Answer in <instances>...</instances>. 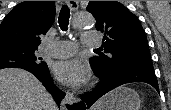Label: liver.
Segmentation results:
<instances>
[{"label": "liver", "mask_w": 171, "mask_h": 110, "mask_svg": "<svg viewBox=\"0 0 171 110\" xmlns=\"http://www.w3.org/2000/svg\"><path fill=\"white\" fill-rule=\"evenodd\" d=\"M100 105L101 100L94 105V110ZM0 110H57V106L33 74L6 68L0 70Z\"/></svg>", "instance_id": "liver-1"}]
</instances>
